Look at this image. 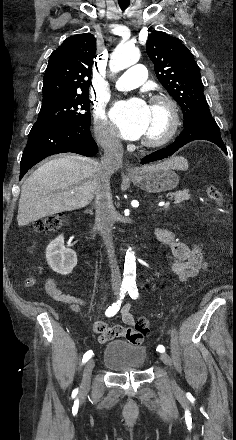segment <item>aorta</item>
Listing matches in <instances>:
<instances>
[{"label":"aorta","mask_w":236,"mask_h":440,"mask_svg":"<svg viewBox=\"0 0 236 440\" xmlns=\"http://www.w3.org/2000/svg\"><path fill=\"white\" fill-rule=\"evenodd\" d=\"M140 59V51L135 47L118 46L113 52L110 60V70L117 73L131 65L136 64ZM136 274V258L131 248L126 251L124 262V279L131 281Z\"/></svg>","instance_id":"762f6f07"}]
</instances>
